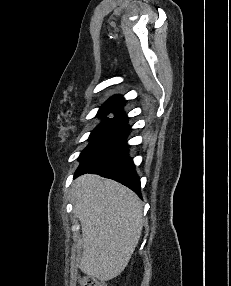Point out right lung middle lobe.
<instances>
[{
	"label": "right lung middle lobe",
	"mask_w": 231,
	"mask_h": 286,
	"mask_svg": "<svg viewBox=\"0 0 231 286\" xmlns=\"http://www.w3.org/2000/svg\"><path fill=\"white\" fill-rule=\"evenodd\" d=\"M109 113H114L115 117L106 118L92 131L89 137L90 143L81 153L79 159H82L92 149H94L128 121V117L122 112V108L115 106H102L98 111L97 116H106Z\"/></svg>",
	"instance_id": "dd1d6c3e"
}]
</instances>
